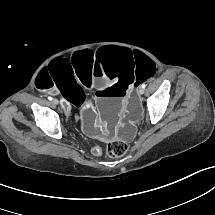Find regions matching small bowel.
Wrapping results in <instances>:
<instances>
[{
  "label": "small bowel",
  "mask_w": 215,
  "mask_h": 215,
  "mask_svg": "<svg viewBox=\"0 0 215 215\" xmlns=\"http://www.w3.org/2000/svg\"><path fill=\"white\" fill-rule=\"evenodd\" d=\"M93 150H96V152L99 153V154L101 152L100 148H98V147L94 148Z\"/></svg>",
  "instance_id": "1"
}]
</instances>
